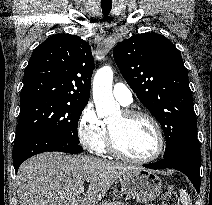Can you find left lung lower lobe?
I'll list each match as a JSON object with an SVG mask.
<instances>
[{"mask_svg":"<svg viewBox=\"0 0 212 205\" xmlns=\"http://www.w3.org/2000/svg\"><path fill=\"white\" fill-rule=\"evenodd\" d=\"M200 146L197 137L189 139L178 151L164 159L146 164L144 167L150 169L173 168L184 173L200 191Z\"/></svg>","mask_w":212,"mask_h":205,"instance_id":"left-lung-lower-lobe-1","label":"left lung lower lobe"}]
</instances>
